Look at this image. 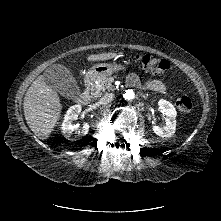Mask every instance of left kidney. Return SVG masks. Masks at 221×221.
Segmentation results:
<instances>
[{"mask_svg": "<svg viewBox=\"0 0 221 221\" xmlns=\"http://www.w3.org/2000/svg\"><path fill=\"white\" fill-rule=\"evenodd\" d=\"M158 104L161 107L162 112L167 116L166 125L160 127L156 125L154 122H152V129L154 133L158 136L170 137L175 133L177 112L174 106L166 100L162 99L158 102Z\"/></svg>", "mask_w": 221, "mask_h": 221, "instance_id": "5707ae66", "label": "left kidney"}]
</instances>
